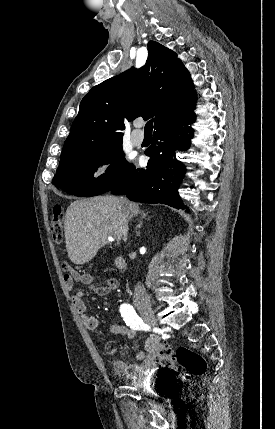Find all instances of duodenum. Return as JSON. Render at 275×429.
Segmentation results:
<instances>
[{
    "label": "duodenum",
    "mask_w": 275,
    "mask_h": 429,
    "mask_svg": "<svg viewBox=\"0 0 275 429\" xmlns=\"http://www.w3.org/2000/svg\"><path fill=\"white\" fill-rule=\"evenodd\" d=\"M116 266L120 271H124L126 268V262L123 258L119 257L116 259Z\"/></svg>",
    "instance_id": "1"
}]
</instances>
